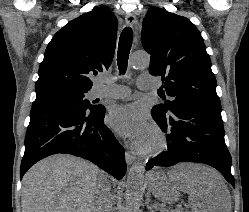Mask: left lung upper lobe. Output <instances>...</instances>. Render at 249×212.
I'll list each match as a JSON object with an SVG mask.
<instances>
[{"mask_svg":"<svg viewBox=\"0 0 249 212\" xmlns=\"http://www.w3.org/2000/svg\"><path fill=\"white\" fill-rule=\"evenodd\" d=\"M142 45L151 55L149 72L162 76L172 100L153 108L170 114L181 107L221 111L216 79L201 33L187 18L152 7L143 20ZM160 96L165 97L160 89Z\"/></svg>","mask_w":249,"mask_h":212,"instance_id":"obj_1","label":"left lung upper lobe"}]
</instances>
